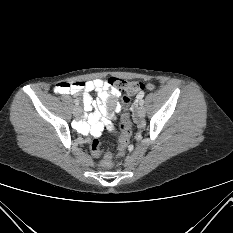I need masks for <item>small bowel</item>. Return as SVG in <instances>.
Instances as JSON below:
<instances>
[{"mask_svg":"<svg viewBox=\"0 0 233 233\" xmlns=\"http://www.w3.org/2000/svg\"><path fill=\"white\" fill-rule=\"evenodd\" d=\"M110 87L107 81L95 79L86 82H61L55 86L54 91L58 94L72 95L82 92L83 107L86 113L76 123V129L81 133H90L98 137L104 130L111 131L113 129V122L121 111L119 103H116L113 109L107 107V101L110 98L108 94ZM92 93L97 94V100L92 98ZM112 93L115 95L114 91ZM143 94L141 91L137 97Z\"/></svg>","mask_w":233,"mask_h":233,"instance_id":"c3829d8e","label":"small bowel"}]
</instances>
